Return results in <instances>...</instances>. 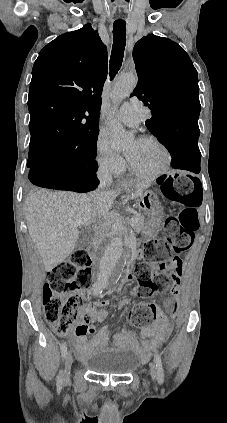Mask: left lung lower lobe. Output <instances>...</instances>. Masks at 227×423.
<instances>
[{
	"label": "left lung lower lobe",
	"mask_w": 227,
	"mask_h": 423,
	"mask_svg": "<svg viewBox=\"0 0 227 423\" xmlns=\"http://www.w3.org/2000/svg\"><path fill=\"white\" fill-rule=\"evenodd\" d=\"M198 130H189L182 135H173L160 140L172 156L171 165L175 169L200 172L201 153L198 147ZM190 177L192 180L194 178Z\"/></svg>",
	"instance_id": "left-lung-lower-lobe-1"
}]
</instances>
